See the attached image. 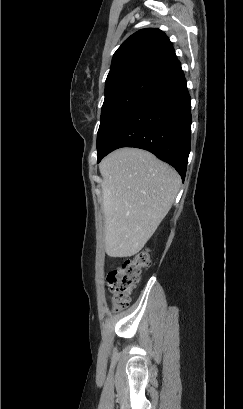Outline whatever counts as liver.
Wrapping results in <instances>:
<instances>
[{
    "label": "liver",
    "instance_id": "6515ba94",
    "mask_svg": "<svg viewBox=\"0 0 243 409\" xmlns=\"http://www.w3.org/2000/svg\"><path fill=\"white\" fill-rule=\"evenodd\" d=\"M103 178L105 251L110 257L137 254L169 212L181 178L153 154L118 149L99 164Z\"/></svg>",
    "mask_w": 243,
    "mask_h": 409
}]
</instances>
